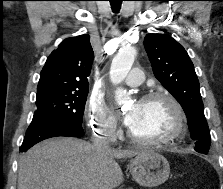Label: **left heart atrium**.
Wrapping results in <instances>:
<instances>
[{
	"mask_svg": "<svg viewBox=\"0 0 223 189\" xmlns=\"http://www.w3.org/2000/svg\"><path fill=\"white\" fill-rule=\"evenodd\" d=\"M135 117H136V110L128 112L124 117V123L130 127L134 122Z\"/></svg>",
	"mask_w": 223,
	"mask_h": 189,
	"instance_id": "1",
	"label": "left heart atrium"
}]
</instances>
